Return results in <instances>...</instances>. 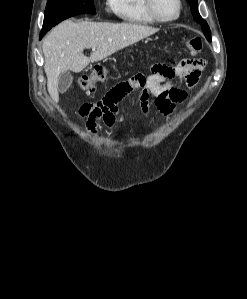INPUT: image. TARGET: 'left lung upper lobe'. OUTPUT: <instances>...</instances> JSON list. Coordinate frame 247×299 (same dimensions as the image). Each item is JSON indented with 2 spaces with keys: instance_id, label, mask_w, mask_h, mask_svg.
<instances>
[{
  "instance_id": "1",
  "label": "left lung upper lobe",
  "mask_w": 247,
  "mask_h": 299,
  "mask_svg": "<svg viewBox=\"0 0 247 299\" xmlns=\"http://www.w3.org/2000/svg\"><path fill=\"white\" fill-rule=\"evenodd\" d=\"M191 6V12L196 22L201 23L202 30L206 36V38L211 41V32L210 28L207 25L206 21L202 19L199 14L198 7H197V0H187Z\"/></svg>"
}]
</instances>
